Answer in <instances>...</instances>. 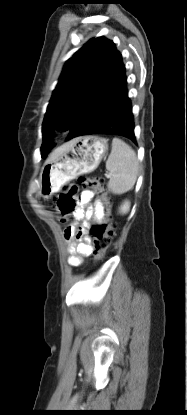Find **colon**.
<instances>
[{
    "instance_id": "5ec220e1",
    "label": "colon",
    "mask_w": 187,
    "mask_h": 415,
    "mask_svg": "<svg viewBox=\"0 0 187 415\" xmlns=\"http://www.w3.org/2000/svg\"><path fill=\"white\" fill-rule=\"evenodd\" d=\"M79 182L83 187L91 189L107 202L105 187L99 179L81 177ZM77 191L78 187L72 185L60 195L58 209L64 217L71 215L75 211L77 207ZM106 215V218L93 224L90 228V235L93 238V256L96 261H100L105 257L115 233L116 223L109 217L108 206Z\"/></svg>"
}]
</instances>
